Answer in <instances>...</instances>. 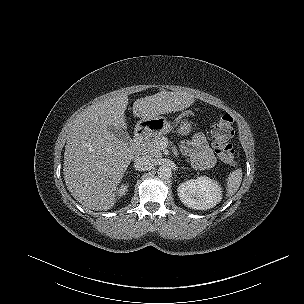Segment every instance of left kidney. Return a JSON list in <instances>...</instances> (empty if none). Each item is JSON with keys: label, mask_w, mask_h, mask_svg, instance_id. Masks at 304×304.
<instances>
[{"label": "left kidney", "mask_w": 304, "mask_h": 304, "mask_svg": "<svg viewBox=\"0 0 304 304\" xmlns=\"http://www.w3.org/2000/svg\"><path fill=\"white\" fill-rule=\"evenodd\" d=\"M178 196L181 202L194 210H209L220 201V188L208 177H198L179 185Z\"/></svg>", "instance_id": "left-kidney-1"}]
</instances>
